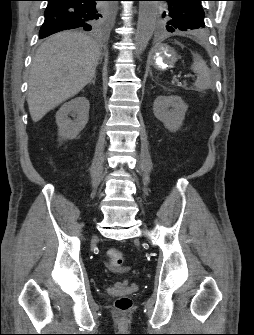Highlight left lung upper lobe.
Instances as JSON below:
<instances>
[{"mask_svg":"<svg viewBox=\"0 0 254 335\" xmlns=\"http://www.w3.org/2000/svg\"><path fill=\"white\" fill-rule=\"evenodd\" d=\"M167 2V8L162 12L169 32L187 31L205 27L203 0H161Z\"/></svg>","mask_w":254,"mask_h":335,"instance_id":"obj_1","label":"left lung upper lobe"}]
</instances>
